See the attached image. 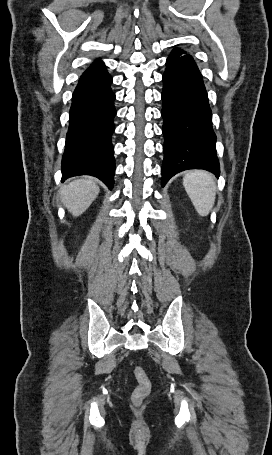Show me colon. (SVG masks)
Listing matches in <instances>:
<instances>
[{
    "instance_id": "5ec220e1",
    "label": "colon",
    "mask_w": 272,
    "mask_h": 455,
    "mask_svg": "<svg viewBox=\"0 0 272 455\" xmlns=\"http://www.w3.org/2000/svg\"><path fill=\"white\" fill-rule=\"evenodd\" d=\"M137 386L133 391L132 398L135 403H140L150 393V381L142 367H135L133 370Z\"/></svg>"
}]
</instances>
